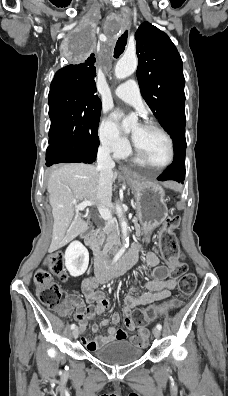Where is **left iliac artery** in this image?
<instances>
[{"label":"left iliac artery","mask_w":228,"mask_h":396,"mask_svg":"<svg viewBox=\"0 0 228 396\" xmlns=\"http://www.w3.org/2000/svg\"><path fill=\"white\" fill-rule=\"evenodd\" d=\"M156 328L161 330L162 329V325L161 324H157Z\"/></svg>","instance_id":"left-iliac-artery-1"}]
</instances>
